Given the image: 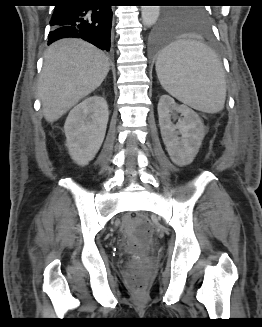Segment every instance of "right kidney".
<instances>
[{"instance_id": "ca27d5eb", "label": "right kidney", "mask_w": 262, "mask_h": 327, "mask_svg": "<svg viewBox=\"0 0 262 327\" xmlns=\"http://www.w3.org/2000/svg\"><path fill=\"white\" fill-rule=\"evenodd\" d=\"M109 118L106 100L91 96L76 105L69 113L64 131L71 158L85 166L98 152L104 140Z\"/></svg>"}]
</instances>
